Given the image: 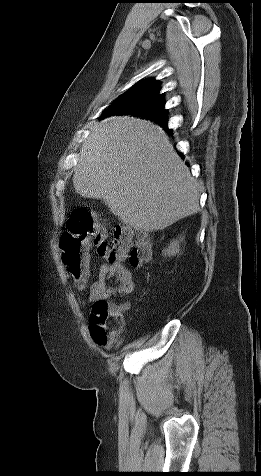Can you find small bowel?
I'll list each match as a JSON object with an SVG mask.
<instances>
[{"label": "small bowel", "instance_id": "1", "mask_svg": "<svg viewBox=\"0 0 261 476\" xmlns=\"http://www.w3.org/2000/svg\"><path fill=\"white\" fill-rule=\"evenodd\" d=\"M135 288L133 273L122 262L110 261L100 267L97 281L93 282L89 288V300L95 304L106 301L111 296L131 294ZM119 307L126 310L128 304L125 303Z\"/></svg>", "mask_w": 261, "mask_h": 476}]
</instances>
